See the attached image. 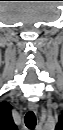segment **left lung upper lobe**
I'll use <instances>...</instances> for the list:
<instances>
[{
  "label": "left lung upper lobe",
  "mask_w": 63,
  "mask_h": 130,
  "mask_svg": "<svg viewBox=\"0 0 63 130\" xmlns=\"http://www.w3.org/2000/svg\"><path fill=\"white\" fill-rule=\"evenodd\" d=\"M60 118H61V117H60ZM59 125H60V122L58 123V125H57L56 129H58Z\"/></svg>",
  "instance_id": "obj_1"
}]
</instances>
